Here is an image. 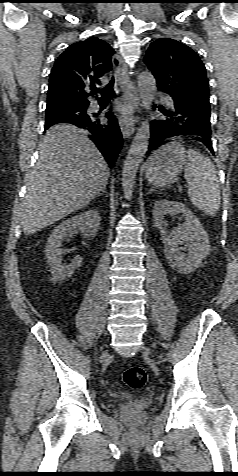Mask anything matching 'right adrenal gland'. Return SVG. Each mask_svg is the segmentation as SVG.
Returning <instances> with one entry per match:
<instances>
[{
	"instance_id": "1",
	"label": "right adrenal gland",
	"mask_w": 238,
	"mask_h": 476,
	"mask_svg": "<svg viewBox=\"0 0 238 476\" xmlns=\"http://www.w3.org/2000/svg\"><path fill=\"white\" fill-rule=\"evenodd\" d=\"M100 194H105V196L107 195V194H106V186H104V187L101 189V191L98 193L97 196H99Z\"/></svg>"
}]
</instances>
